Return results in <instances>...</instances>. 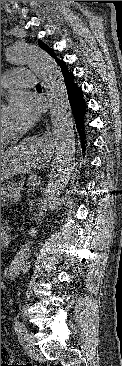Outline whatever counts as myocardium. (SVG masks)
I'll use <instances>...</instances> for the list:
<instances>
[{
  "label": "myocardium",
  "instance_id": "1",
  "mask_svg": "<svg viewBox=\"0 0 122 366\" xmlns=\"http://www.w3.org/2000/svg\"><path fill=\"white\" fill-rule=\"evenodd\" d=\"M1 106H4V105L1 103ZM13 139H14V135H12V134L6 135V134L1 133V143L9 142V141H12Z\"/></svg>",
  "mask_w": 122,
  "mask_h": 366
}]
</instances>
